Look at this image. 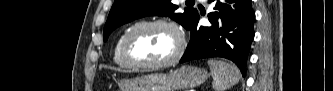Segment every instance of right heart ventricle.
Masks as SVG:
<instances>
[{"instance_id":"right-heart-ventricle-1","label":"right heart ventricle","mask_w":333,"mask_h":91,"mask_svg":"<svg viewBox=\"0 0 333 91\" xmlns=\"http://www.w3.org/2000/svg\"><path fill=\"white\" fill-rule=\"evenodd\" d=\"M128 29H125L117 38L115 46H114V52H113V60L116 63V65H118L121 68L124 69H131L134 68L133 66H131L130 64L127 63V61L125 60V58L123 57V53H122V43H123V39L125 34L127 33Z\"/></svg>"}]
</instances>
